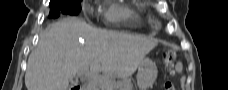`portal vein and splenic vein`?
I'll use <instances>...</instances> for the list:
<instances>
[{"mask_svg": "<svg viewBox=\"0 0 228 90\" xmlns=\"http://www.w3.org/2000/svg\"><path fill=\"white\" fill-rule=\"evenodd\" d=\"M95 68L91 67L90 68V71H89V68H84L83 70H81L79 73L80 74H85V76H87L88 78H92V79H97L98 77H96L94 75V72H95Z\"/></svg>", "mask_w": 228, "mask_h": 90, "instance_id": "18ae733b", "label": "portal vein and splenic vein"}]
</instances>
